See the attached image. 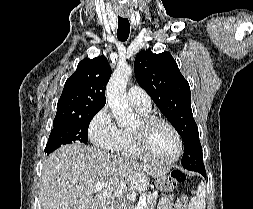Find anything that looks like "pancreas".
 Masks as SVG:
<instances>
[{"mask_svg": "<svg viewBox=\"0 0 253 209\" xmlns=\"http://www.w3.org/2000/svg\"><path fill=\"white\" fill-rule=\"evenodd\" d=\"M158 198V195L155 194H147L146 195V204L143 206L142 209H154L156 205V200Z\"/></svg>", "mask_w": 253, "mask_h": 209, "instance_id": "obj_1", "label": "pancreas"}]
</instances>
